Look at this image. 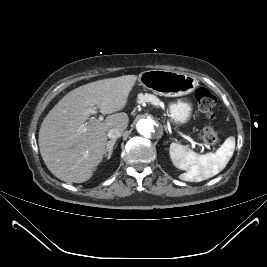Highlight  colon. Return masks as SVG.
<instances>
[{
  "label": "colon",
  "mask_w": 267,
  "mask_h": 267,
  "mask_svg": "<svg viewBox=\"0 0 267 267\" xmlns=\"http://www.w3.org/2000/svg\"><path fill=\"white\" fill-rule=\"evenodd\" d=\"M195 98L205 116L208 119H214L216 116L214 112L216 97L207 88L200 87L195 91ZM202 139L209 146L217 145L220 140L217 131L210 126L203 129Z\"/></svg>",
  "instance_id": "1"
}]
</instances>
